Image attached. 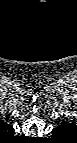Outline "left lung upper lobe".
Masks as SVG:
<instances>
[{
    "label": "left lung upper lobe",
    "mask_w": 77,
    "mask_h": 143,
    "mask_svg": "<svg viewBox=\"0 0 77 143\" xmlns=\"http://www.w3.org/2000/svg\"><path fill=\"white\" fill-rule=\"evenodd\" d=\"M69 125H70V124H68V123L59 125L58 127H56V128L54 129V131H55V133L58 132V133L61 135L62 133H64V132L67 130V128L69 127Z\"/></svg>",
    "instance_id": "obj_1"
}]
</instances>
